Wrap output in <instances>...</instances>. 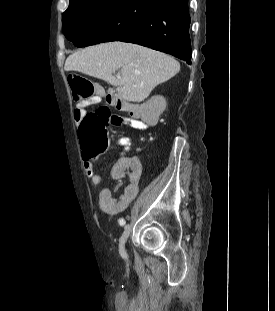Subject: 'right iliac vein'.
Masks as SVG:
<instances>
[{
    "label": "right iliac vein",
    "mask_w": 275,
    "mask_h": 311,
    "mask_svg": "<svg viewBox=\"0 0 275 311\" xmlns=\"http://www.w3.org/2000/svg\"><path fill=\"white\" fill-rule=\"evenodd\" d=\"M130 232H131V226L128 224V225L125 226L123 234H122V236L120 238V243H119L120 253L124 257H127V252H126V249H125V244H126L127 239H128V237L130 235Z\"/></svg>",
    "instance_id": "right-iliac-vein-1"
}]
</instances>
